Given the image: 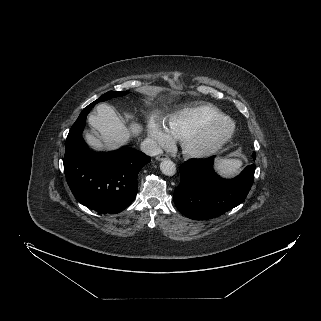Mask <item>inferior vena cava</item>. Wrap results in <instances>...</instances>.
I'll return each instance as SVG.
<instances>
[{"label":"inferior vena cava","instance_id":"inferior-vena-cava-1","mask_svg":"<svg viewBox=\"0 0 321 321\" xmlns=\"http://www.w3.org/2000/svg\"><path fill=\"white\" fill-rule=\"evenodd\" d=\"M140 148L142 152L151 157L162 153L160 146L152 139H145L140 144Z\"/></svg>","mask_w":321,"mask_h":321}]
</instances>
